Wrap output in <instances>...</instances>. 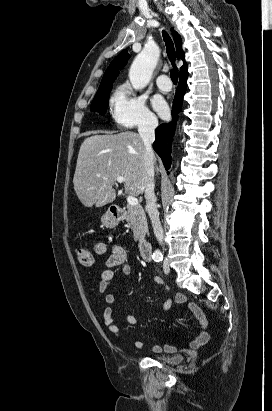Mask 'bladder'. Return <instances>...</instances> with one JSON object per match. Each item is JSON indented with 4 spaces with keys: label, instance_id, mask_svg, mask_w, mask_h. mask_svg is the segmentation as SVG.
Returning <instances> with one entry per match:
<instances>
[{
    "label": "bladder",
    "instance_id": "31cf9c89",
    "mask_svg": "<svg viewBox=\"0 0 272 411\" xmlns=\"http://www.w3.org/2000/svg\"><path fill=\"white\" fill-rule=\"evenodd\" d=\"M155 359L164 364L177 365L182 362L183 357L181 355H157Z\"/></svg>",
    "mask_w": 272,
    "mask_h": 411
}]
</instances>
